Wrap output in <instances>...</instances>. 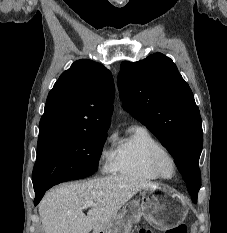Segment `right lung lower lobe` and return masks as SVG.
Segmentation results:
<instances>
[{"label": "right lung lower lobe", "mask_w": 227, "mask_h": 233, "mask_svg": "<svg viewBox=\"0 0 227 233\" xmlns=\"http://www.w3.org/2000/svg\"><path fill=\"white\" fill-rule=\"evenodd\" d=\"M61 182H53V183H50V184H47V185H44L38 189H34L35 190V200H34V205H37L40 200L42 199L44 193L49 189L51 188L52 186L56 185V184H59Z\"/></svg>", "instance_id": "98d812e1"}]
</instances>
